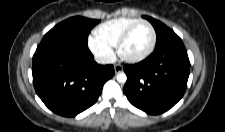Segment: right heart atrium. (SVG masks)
<instances>
[{
  "mask_svg": "<svg viewBox=\"0 0 225 132\" xmlns=\"http://www.w3.org/2000/svg\"><path fill=\"white\" fill-rule=\"evenodd\" d=\"M89 48L93 54L102 62H111L114 58V51L112 47L98 40L95 36L90 37Z\"/></svg>",
  "mask_w": 225,
  "mask_h": 132,
  "instance_id": "right-heart-atrium-1",
  "label": "right heart atrium"
}]
</instances>
